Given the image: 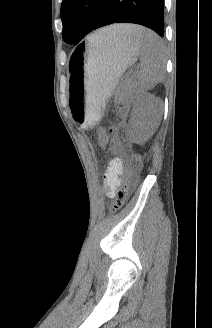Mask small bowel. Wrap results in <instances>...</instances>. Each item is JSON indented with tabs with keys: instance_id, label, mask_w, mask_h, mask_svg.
<instances>
[{
	"instance_id": "obj_1",
	"label": "small bowel",
	"mask_w": 212,
	"mask_h": 328,
	"mask_svg": "<svg viewBox=\"0 0 212 328\" xmlns=\"http://www.w3.org/2000/svg\"><path fill=\"white\" fill-rule=\"evenodd\" d=\"M125 172V165L121 158H113L104 172V192L107 197L113 198L121 184V177Z\"/></svg>"
}]
</instances>
